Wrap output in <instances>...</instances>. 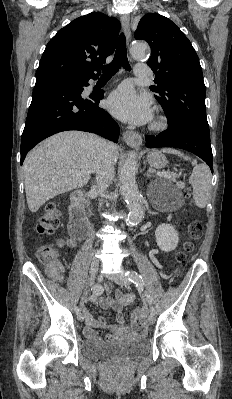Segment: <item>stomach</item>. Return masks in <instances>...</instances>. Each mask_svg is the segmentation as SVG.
I'll return each instance as SVG.
<instances>
[{"instance_id": "obj_1", "label": "stomach", "mask_w": 232, "mask_h": 399, "mask_svg": "<svg viewBox=\"0 0 232 399\" xmlns=\"http://www.w3.org/2000/svg\"><path fill=\"white\" fill-rule=\"evenodd\" d=\"M147 162L152 166V168H157V170H160V168H164L167 164V158H165L164 154H161L159 150H152V152H149L147 156Z\"/></svg>"}]
</instances>
